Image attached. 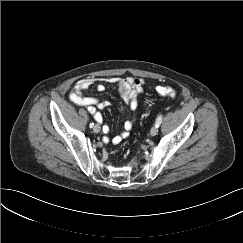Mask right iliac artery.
Wrapping results in <instances>:
<instances>
[{
    "label": "right iliac artery",
    "instance_id": "right-iliac-artery-1",
    "mask_svg": "<svg viewBox=\"0 0 243 243\" xmlns=\"http://www.w3.org/2000/svg\"><path fill=\"white\" fill-rule=\"evenodd\" d=\"M89 127H90V128H93V127H94V123H90V124H89Z\"/></svg>",
    "mask_w": 243,
    "mask_h": 243
}]
</instances>
